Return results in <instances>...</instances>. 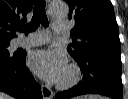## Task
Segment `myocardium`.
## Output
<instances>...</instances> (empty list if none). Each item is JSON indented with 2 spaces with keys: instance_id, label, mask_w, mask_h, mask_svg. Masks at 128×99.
Wrapping results in <instances>:
<instances>
[{
  "instance_id": "1",
  "label": "myocardium",
  "mask_w": 128,
  "mask_h": 99,
  "mask_svg": "<svg viewBox=\"0 0 128 99\" xmlns=\"http://www.w3.org/2000/svg\"><path fill=\"white\" fill-rule=\"evenodd\" d=\"M69 77L66 80H60L57 83V88L67 90L74 87L81 79V71L75 64H69L67 67Z\"/></svg>"
}]
</instances>
